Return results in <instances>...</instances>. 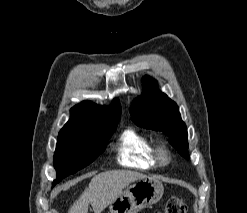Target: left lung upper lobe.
<instances>
[{"label":"left lung upper lobe","instance_id":"5c2ea615","mask_svg":"<svg viewBox=\"0 0 247 213\" xmlns=\"http://www.w3.org/2000/svg\"><path fill=\"white\" fill-rule=\"evenodd\" d=\"M144 92L133 102L131 119L136 125L169 136L171 145L185 158L188 155L187 128L181 120L177 104L166 94L156 90V82L143 78Z\"/></svg>","mask_w":247,"mask_h":213}]
</instances>
